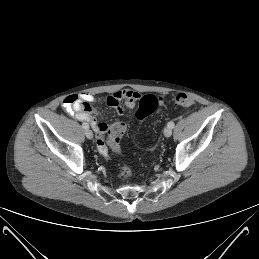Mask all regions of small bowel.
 <instances>
[{
	"label": "small bowel",
	"instance_id": "c3829d8e",
	"mask_svg": "<svg viewBox=\"0 0 259 259\" xmlns=\"http://www.w3.org/2000/svg\"><path fill=\"white\" fill-rule=\"evenodd\" d=\"M139 93L124 89L116 91L106 98V102L109 106L116 109L119 115L124 113L122 104H125L129 108H133L136 105ZM95 96L89 93H82L78 96H69L64 102V108L71 112L78 120L86 121L90 123L93 130L96 133V143L101 154L105 155L107 151V146L105 143V132L108 126L98 120L97 114L92 111L89 104L96 102ZM160 103L163 104V98H160Z\"/></svg>",
	"mask_w": 259,
	"mask_h": 259
}]
</instances>
